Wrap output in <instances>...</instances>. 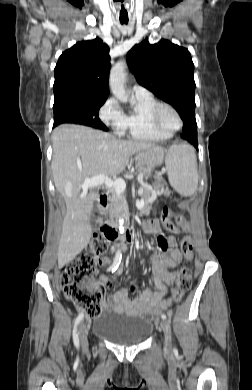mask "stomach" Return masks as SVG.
<instances>
[{"mask_svg": "<svg viewBox=\"0 0 252 390\" xmlns=\"http://www.w3.org/2000/svg\"><path fill=\"white\" fill-rule=\"evenodd\" d=\"M164 151L157 149L143 150L137 153L135 160L138 170L150 175L156 167L163 163Z\"/></svg>", "mask_w": 252, "mask_h": 390, "instance_id": "obj_1", "label": "stomach"}]
</instances>
